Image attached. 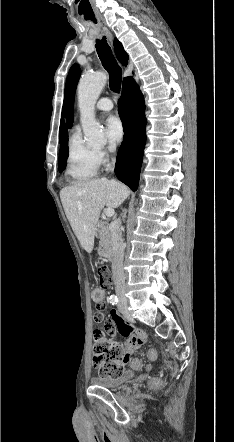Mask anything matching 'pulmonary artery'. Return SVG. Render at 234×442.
<instances>
[{
    "mask_svg": "<svg viewBox=\"0 0 234 442\" xmlns=\"http://www.w3.org/2000/svg\"><path fill=\"white\" fill-rule=\"evenodd\" d=\"M96 108L99 111L107 112L113 108V103L109 98H101L97 104Z\"/></svg>",
    "mask_w": 234,
    "mask_h": 442,
    "instance_id": "e3ab8cb5",
    "label": "pulmonary artery"
}]
</instances>
